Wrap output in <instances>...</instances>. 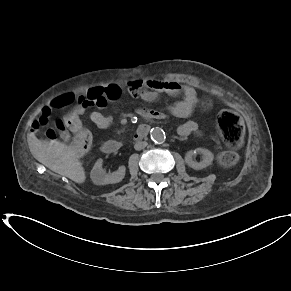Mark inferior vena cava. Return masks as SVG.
Wrapping results in <instances>:
<instances>
[{
    "label": "inferior vena cava",
    "mask_w": 291,
    "mask_h": 291,
    "mask_svg": "<svg viewBox=\"0 0 291 291\" xmlns=\"http://www.w3.org/2000/svg\"><path fill=\"white\" fill-rule=\"evenodd\" d=\"M146 146H147L146 141H138L137 143H135L134 148H135V150H142Z\"/></svg>",
    "instance_id": "obj_1"
}]
</instances>
